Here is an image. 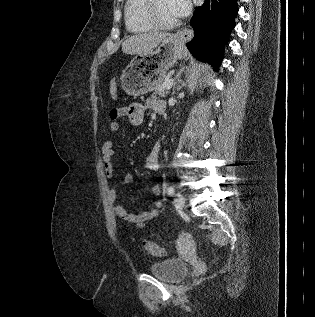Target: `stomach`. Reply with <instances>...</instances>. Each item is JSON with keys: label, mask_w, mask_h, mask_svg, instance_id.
<instances>
[{"label": "stomach", "mask_w": 315, "mask_h": 317, "mask_svg": "<svg viewBox=\"0 0 315 317\" xmlns=\"http://www.w3.org/2000/svg\"><path fill=\"white\" fill-rule=\"evenodd\" d=\"M184 45L177 36L165 38L151 53L136 55L121 75V86L130 96L153 91L163 82L166 71L182 58Z\"/></svg>", "instance_id": "0dacf381"}]
</instances>
